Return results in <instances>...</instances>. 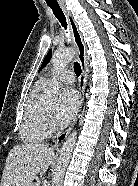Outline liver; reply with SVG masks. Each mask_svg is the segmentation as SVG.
<instances>
[{"label": "liver", "instance_id": "6515ba94", "mask_svg": "<svg viewBox=\"0 0 138 186\" xmlns=\"http://www.w3.org/2000/svg\"><path fill=\"white\" fill-rule=\"evenodd\" d=\"M55 153L44 143L14 146L8 153L1 186H30L37 174L46 173Z\"/></svg>", "mask_w": 138, "mask_h": 186}]
</instances>
